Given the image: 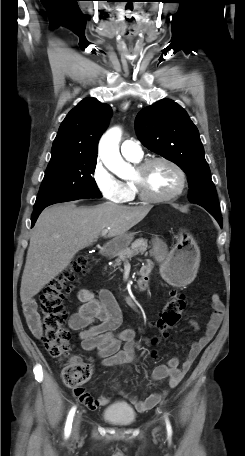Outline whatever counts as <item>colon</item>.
<instances>
[{"instance_id": "colon-1", "label": "colon", "mask_w": 245, "mask_h": 456, "mask_svg": "<svg viewBox=\"0 0 245 456\" xmlns=\"http://www.w3.org/2000/svg\"><path fill=\"white\" fill-rule=\"evenodd\" d=\"M87 263V256H78L68 268L50 281L40 294L44 343L49 354L57 359L66 357L70 351V333L65 327L67 311L64 301L85 273ZM185 306L184 295L173 292L158 319L153 322L159 333L154 341L160 342L168 337V331L177 324ZM91 373L92 367L89 363L74 357L63 368L62 380L68 387L79 388L89 380Z\"/></svg>"}]
</instances>
